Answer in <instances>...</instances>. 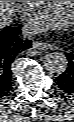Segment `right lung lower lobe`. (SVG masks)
Here are the masks:
<instances>
[{"label": "right lung lower lobe", "instance_id": "98d812e1", "mask_svg": "<svg viewBox=\"0 0 74 122\" xmlns=\"http://www.w3.org/2000/svg\"><path fill=\"white\" fill-rule=\"evenodd\" d=\"M20 27H5L0 30V98L12 89L11 65L24 50L31 48L30 40L20 38Z\"/></svg>", "mask_w": 74, "mask_h": 122}]
</instances>
